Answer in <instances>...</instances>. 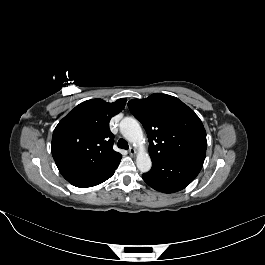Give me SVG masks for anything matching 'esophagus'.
Here are the masks:
<instances>
[{"mask_svg":"<svg viewBox=\"0 0 265 265\" xmlns=\"http://www.w3.org/2000/svg\"><path fill=\"white\" fill-rule=\"evenodd\" d=\"M129 153L131 156H136L137 151L134 148H130Z\"/></svg>","mask_w":265,"mask_h":265,"instance_id":"esophagus-1","label":"esophagus"}]
</instances>
